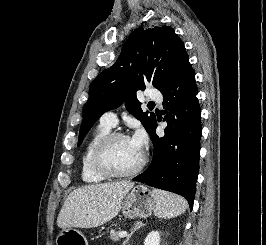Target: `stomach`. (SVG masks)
<instances>
[{
  "label": "stomach",
  "instance_id": "stomach-1",
  "mask_svg": "<svg viewBox=\"0 0 266 245\" xmlns=\"http://www.w3.org/2000/svg\"><path fill=\"white\" fill-rule=\"evenodd\" d=\"M154 197L152 191L144 185H137L129 195L123 199L120 209L127 219H146L154 211ZM58 245H88L86 237L77 229H63L58 239Z\"/></svg>",
  "mask_w": 266,
  "mask_h": 245
}]
</instances>
